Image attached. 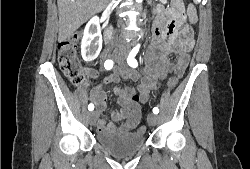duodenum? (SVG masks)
I'll list each match as a JSON object with an SVG mask.
<instances>
[{
    "mask_svg": "<svg viewBox=\"0 0 250 169\" xmlns=\"http://www.w3.org/2000/svg\"><path fill=\"white\" fill-rule=\"evenodd\" d=\"M104 39L107 45H111L113 42V30L110 25H107L104 30Z\"/></svg>",
    "mask_w": 250,
    "mask_h": 169,
    "instance_id": "obj_1",
    "label": "duodenum"
}]
</instances>
